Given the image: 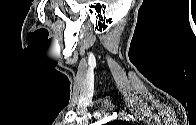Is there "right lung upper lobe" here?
I'll return each instance as SVG.
<instances>
[{"instance_id": "obj_1", "label": "right lung upper lobe", "mask_w": 196, "mask_h": 125, "mask_svg": "<svg viewBox=\"0 0 196 125\" xmlns=\"http://www.w3.org/2000/svg\"><path fill=\"white\" fill-rule=\"evenodd\" d=\"M114 124H124V122L121 120H118V121H115Z\"/></svg>"}]
</instances>
